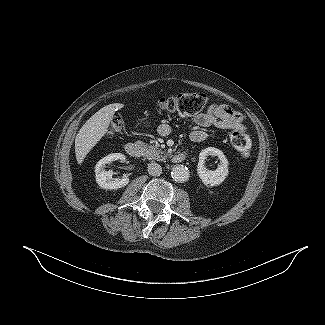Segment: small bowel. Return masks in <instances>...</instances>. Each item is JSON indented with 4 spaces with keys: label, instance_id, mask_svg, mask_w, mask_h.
<instances>
[{
    "label": "small bowel",
    "instance_id": "small-bowel-1",
    "mask_svg": "<svg viewBox=\"0 0 325 325\" xmlns=\"http://www.w3.org/2000/svg\"><path fill=\"white\" fill-rule=\"evenodd\" d=\"M193 122L197 128L190 133V140L194 143H200L206 139L207 134L204 128L207 127L246 131L242 114L226 104L210 105L206 112L197 115ZM170 131L171 128L167 123L161 124L158 128V132L162 136L168 135Z\"/></svg>",
    "mask_w": 325,
    "mask_h": 325
}]
</instances>
